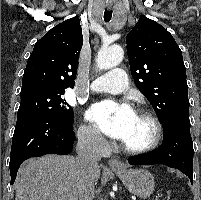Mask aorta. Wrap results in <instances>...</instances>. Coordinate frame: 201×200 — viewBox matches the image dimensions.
Here are the masks:
<instances>
[{
  "mask_svg": "<svg viewBox=\"0 0 201 200\" xmlns=\"http://www.w3.org/2000/svg\"><path fill=\"white\" fill-rule=\"evenodd\" d=\"M124 57V51L120 46H104L96 58L97 67L107 70L117 66Z\"/></svg>",
  "mask_w": 201,
  "mask_h": 200,
  "instance_id": "obj_1",
  "label": "aorta"
}]
</instances>
